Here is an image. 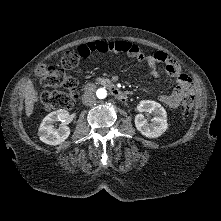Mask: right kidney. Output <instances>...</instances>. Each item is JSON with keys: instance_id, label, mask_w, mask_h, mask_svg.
Listing matches in <instances>:
<instances>
[{"instance_id": "1", "label": "right kidney", "mask_w": 221, "mask_h": 221, "mask_svg": "<svg viewBox=\"0 0 221 221\" xmlns=\"http://www.w3.org/2000/svg\"><path fill=\"white\" fill-rule=\"evenodd\" d=\"M68 118L69 112L63 109L49 113L40 124L39 139L49 145H58L64 142L70 134L69 127L65 126ZM57 121H60L62 125L58 129H54L53 124Z\"/></svg>"}]
</instances>
